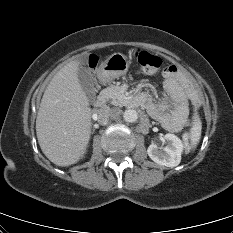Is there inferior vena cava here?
<instances>
[{"instance_id": "602c4592", "label": "inferior vena cava", "mask_w": 233, "mask_h": 233, "mask_svg": "<svg viewBox=\"0 0 233 233\" xmlns=\"http://www.w3.org/2000/svg\"><path fill=\"white\" fill-rule=\"evenodd\" d=\"M116 114V111H112L108 106H105L98 110L97 121L101 125H106L110 117H113Z\"/></svg>"}]
</instances>
